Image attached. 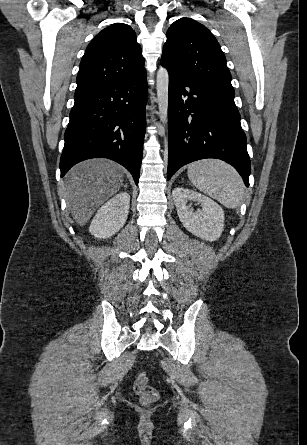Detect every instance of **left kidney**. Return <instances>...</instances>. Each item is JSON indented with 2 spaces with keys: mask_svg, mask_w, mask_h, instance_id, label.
<instances>
[{
  "mask_svg": "<svg viewBox=\"0 0 307 445\" xmlns=\"http://www.w3.org/2000/svg\"><path fill=\"white\" fill-rule=\"evenodd\" d=\"M172 194L183 227L204 241H218L224 231V212L221 206L205 194L189 188L176 186ZM187 200L201 202L202 210L193 212V208L187 206Z\"/></svg>",
  "mask_w": 307,
  "mask_h": 445,
  "instance_id": "1",
  "label": "left kidney"
}]
</instances>
